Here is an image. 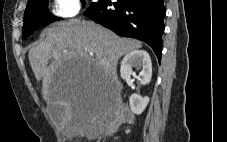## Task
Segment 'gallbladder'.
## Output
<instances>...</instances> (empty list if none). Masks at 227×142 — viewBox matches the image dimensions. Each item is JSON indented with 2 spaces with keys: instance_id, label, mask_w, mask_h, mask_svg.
<instances>
[{
  "instance_id": "gallbladder-1",
  "label": "gallbladder",
  "mask_w": 227,
  "mask_h": 142,
  "mask_svg": "<svg viewBox=\"0 0 227 142\" xmlns=\"http://www.w3.org/2000/svg\"><path fill=\"white\" fill-rule=\"evenodd\" d=\"M49 116L56 122H60L66 115V108L60 104H50L48 106Z\"/></svg>"
}]
</instances>
